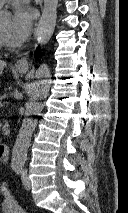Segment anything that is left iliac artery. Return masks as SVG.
<instances>
[{
  "instance_id": "44dca946",
  "label": "left iliac artery",
  "mask_w": 128,
  "mask_h": 213,
  "mask_svg": "<svg viewBox=\"0 0 128 213\" xmlns=\"http://www.w3.org/2000/svg\"><path fill=\"white\" fill-rule=\"evenodd\" d=\"M21 169H22V167L20 166V167L16 170V172L19 174V173L21 172Z\"/></svg>"
}]
</instances>
